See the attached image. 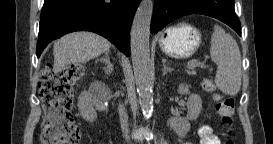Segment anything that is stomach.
<instances>
[{
	"instance_id": "0dacf381",
	"label": "stomach",
	"mask_w": 273,
	"mask_h": 144,
	"mask_svg": "<svg viewBox=\"0 0 273 144\" xmlns=\"http://www.w3.org/2000/svg\"><path fill=\"white\" fill-rule=\"evenodd\" d=\"M200 44V32L189 25L170 27L162 32L159 38L161 51L175 58L192 56Z\"/></svg>"
}]
</instances>
